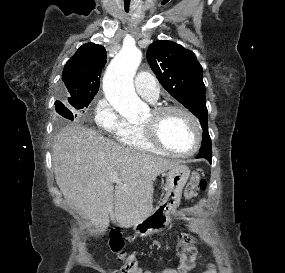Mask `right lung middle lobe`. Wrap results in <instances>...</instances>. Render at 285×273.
<instances>
[{
	"label": "right lung middle lobe",
	"mask_w": 285,
	"mask_h": 273,
	"mask_svg": "<svg viewBox=\"0 0 285 273\" xmlns=\"http://www.w3.org/2000/svg\"><path fill=\"white\" fill-rule=\"evenodd\" d=\"M93 98H88V99H76V100H69L68 102L70 103V105L72 107H74L75 109H82L85 107H88V105L90 104V102L92 101ZM55 107H56V111L64 118L68 119V120H73L74 118V113L68 109L67 107L64 106V104L60 101H56L55 102Z\"/></svg>",
	"instance_id": "obj_1"
}]
</instances>
